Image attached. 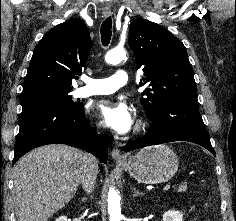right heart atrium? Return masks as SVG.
Listing matches in <instances>:
<instances>
[{
	"instance_id": "obj_1",
	"label": "right heart atrium",
	"mask_w": 236,
	"mask_h": 221,
	"mask_svg": "<svg viewBox=\"0 0 236 221\" xmlns=\"http://www.w3.org/2000/svg\"><path fill=\"white\" fill-rule=\"evenodd\" d=\"M98 128L100 129V128H101V125H99Z\"/></svg>"
}]
</instances>
